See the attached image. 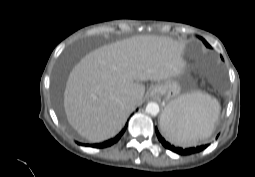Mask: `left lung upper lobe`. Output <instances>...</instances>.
Here are the masks:
<instances>
[{
	"instance_id": "5c2ea615",
	"label": "left lung upper lobe",
	"mask_w": 255,
	"mask_h": 177,
	"mask_svg": "<svg viewBox=\"0 0 255 177\" xmlns=\"http://www.w3.org/2000/svg\"><path fill=\"white\" fill-rule=\"evenodd\" d=\"M201 40L203 41V43L206 45V47H208V48H211V46L206 42V40L205 39H203V38H201Z\"/></svg>"
}]
</instances>
